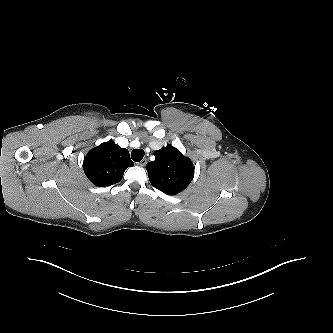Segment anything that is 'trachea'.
I'll return each instance as SVG.
<instances>
[{
  "label": "trachea",
  "mask_w": 333,
  "mask_h": 333,
  "mask_svg": "<svg viewBox=\"0 0 333 333\" xmlns=\"http://www.w3.org/2000/svg\"><path fill=\"white\" fill-rule=\"evenodd\" d=\"M144 154H145L144 150H142V149H134L131 152V158L135 162H140L143 159Z\"/></svg>",
  "instance_id": "1"
}]
</instances>
